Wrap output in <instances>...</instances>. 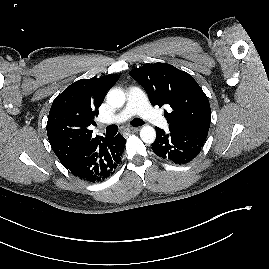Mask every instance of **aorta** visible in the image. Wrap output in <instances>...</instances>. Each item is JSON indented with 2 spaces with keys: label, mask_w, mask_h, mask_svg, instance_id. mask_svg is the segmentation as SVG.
I'll return each instance as SVG.
<instances>
[{
  "label": "aorta",
  "mask_w": 269,
  "mask_h": 269,
  "mask_svg": "<svg viewBox=\"0 0 269 269\" xmlns=\"http://www.w3.org/2000/svg\"><path fill=\"white\" fill-rule=\"evenodd\" d=\"M107 103L114 107H122L125 103V93L121 89H112L107 93ZM140 137L145 143H153L156 139L155 129L149 125L144 126L140 130Z\"/></svg>",
  "instance_id": "obj_1"
}]
</instances>
